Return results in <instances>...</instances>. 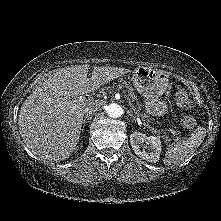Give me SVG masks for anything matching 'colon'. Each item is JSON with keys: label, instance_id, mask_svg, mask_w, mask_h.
I'll return each instance as SVG.
<instances>
[{"label": "colon", "instance_id": "colon-1", "mask_svg": "<svg viewBox=\"0 0 221 221\" xmlns=\"http://www.w3.org/2000/svg\"><path fill=\"white\" fill-rule=\"evenodd\" d=\"M175 102L177 106L183 109H190L192 107V101L185 88H178L175 92ZM181 124L184 128L190 129L196 125L195 119L191 115L183 116Z\"/></svg>", "mask_w": 221, "mask_h": 221}]
</instances>
